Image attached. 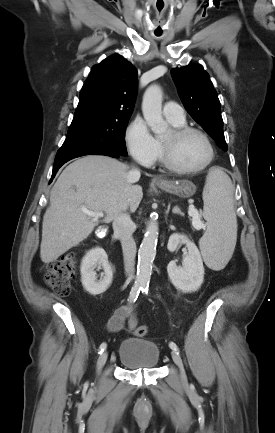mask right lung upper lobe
<instances>
[{
    "mask_svg": "<svg viewBox=\"0 0 275 433\" xmlns=\"http://www.w3.org/2000/svg\"><path fill=\"white\" fill-rule=\"evenodd\" d=\"M137 70L120 55L93 66L85 81L73 120L130 118L135 102Z\"/></svg>",
    "mask_w": 275,
    "mask_h": 433,
    "instance_id": "right-lung-upper-lobe-1",
    "label": "right lung upper lobe"
}]
</instances>
